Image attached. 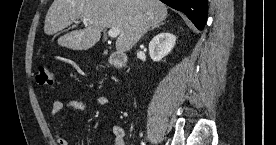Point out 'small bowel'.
Returning a JSON list of instances; mask_svg holds the SVG:
<instances>
[{
    "instance_id": "obj_1",
    "label": "small bowel",
    "mask_w": 276,
    "mask_h": 145,
    "mask_svg": "<svg viewBox=\"0 0 276 145\" xmlns=\"http://www.w3.org/2000/svg\"><path fill=\"white\" fill-rule=\"evenodd\" d=\"M94 102L105 106L108 104V99L103 96H96L94 98ZM88 102L86 101H73L69 100L65 97L58 98L52 106V116L56 118L64 109L70 110H81L86 108ZM112 136V145H125V131L121 125H115L111 130ZM55 140L57 145H68V140L62 136L56 129H55Z\"/></svg>"
}]
</instances>
